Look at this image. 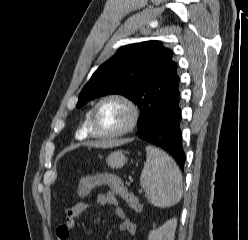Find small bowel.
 Wrapping results in <instances>:
<instances>
[{
    "instance_id": "1",
    "label": "small bowel",
    "mask_w": 248,
    "mask_h": 240,
    "mask_svg": "<svg viewBox=\"0 0 248 240\" xmlns=\"http://www.w3.org/2000/svg\"><path fill=\"white\" fill-rule=\"evenodd\" d=\"M105 205H113L115 207V214L120 219L118 228L122 232H126L131 236L136 234V224L133 223L127 216L124 209L119 206L118 199L113 192H107L105 194H99L94 204L87 202L77 203L74 207L70 208L66 212L65 221L56 230L58 240H69L71 230L75 225V221L82 214L88 212L93 207H103Z\"/></svg>"
}]
</instances>
